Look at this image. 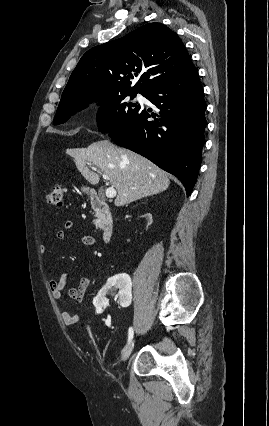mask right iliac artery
Wrapping results in <instances>:
<instances>
[{
	"label": "right iliac artery",
	"instance_id": "right-iliac-artery-1",
	"mask_svg": "<svg viewBox=\"0 0 269 426\" xmlns=\"http://www.w3.org/2000/svg\"><path fill=\"white\" fill-rule=\"evenodd\" d=\"M133 335H134L133 328L130 327L129 330H128V345L130 344V342H131V340L133 338Z\"/></svg>",
	"mask_w": 269,
	"mask_h": 426
}]
</instances>
